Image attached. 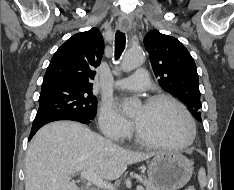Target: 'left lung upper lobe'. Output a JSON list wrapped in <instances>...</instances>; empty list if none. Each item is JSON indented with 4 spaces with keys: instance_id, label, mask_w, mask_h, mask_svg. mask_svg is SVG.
I'll use <instances>...</instances> for the list:
<instances>
[{
    "instance_id": "1",
    "label": "left lung upper lobe",
    "mask_w": 234,
    "mask_h": 190,
    "mask_svg": "<svg viewBox=\"0 0 234 190\" xmlns=\"http://www.w3.org/2000/svg\"><path fill=\"white\" fill-rule=\"evenodd\" d=\"M144 45L161 87L182 100L201 122L198 73L186 47L176 38L157 30L146 34Z\"/></svg>"
}]
</instances>
